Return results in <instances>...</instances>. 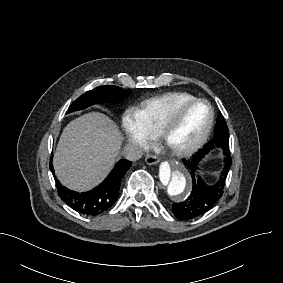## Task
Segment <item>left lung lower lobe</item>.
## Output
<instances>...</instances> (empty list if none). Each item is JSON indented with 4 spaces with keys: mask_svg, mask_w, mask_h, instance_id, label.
Here are the masks:
<instances>
[{
    "mask_svg": "<svg viewBox=\"0 0 283 283\" xmlns=\"http://www.w3.org/2000/svg\"><path fill=\"white\" fill-rule=\"evenodd\" d=\"M214 138L204 146V149L188 160H183L187 169L191 172L192 176V192L190 196L181 203H174L172 210L178 219H194L197 218L208 210H210L223 195L224 183L228 171L232 164L229 150V131L226 122L221 113L217 118V123L214 128ZM220 148L226 156L224 159V168L221 172L219 180L212 186L206 185L201 177L198 175V165L204 155L214 149Z\"/></svg>",
    "mask_w": 283,
    "mask_h": 283,
    "instance_id": "1",
    "label": "left lung lower lobe"
}]
</instances>
